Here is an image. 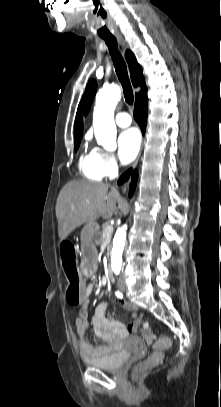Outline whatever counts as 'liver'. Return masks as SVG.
I'll return each instance as SVG.
<instances>
[{"label": "liver", "instance_id": "liver-1", "mask_svg": "<svg viewBox=\"0 0 221 407\" xmlns=\"http://www.w3.org/2000/svg\"><path fill=\"white\" fill-rule=\"evenodd\" d=\"M108 188L107 184L87 181H72L62 188L55 208L61 241L82 224L113 215L119 194L115 190L108 193Z\"/></svg>", "mask_w": 221, "mask_h": 407}]
</instances>
